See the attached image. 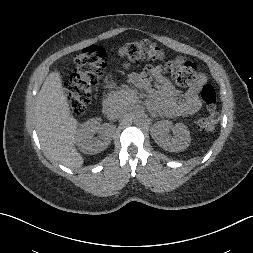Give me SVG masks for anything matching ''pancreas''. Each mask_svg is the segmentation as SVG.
Segmentation results:
<instances>
[{"instance_id": "obj_1", "label": "pancreas", "mask_w": 253, "mask_h": 253, "mask_svg": "<svg viewBox=\"0 0 253 253\" xmlns=\"http://www.w3.org/2000/svg\"><path fill=\"white\" fill-rule=\"evenodd\" d=\"M132 100V95L127 86L119 88V90L112 91L107 97V101L110 103H121L130 104Z\"/></svg>"}]
</instances>
